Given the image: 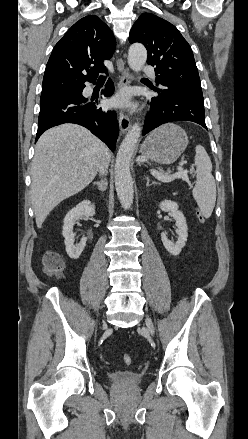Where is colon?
Returning <instances> with one entry per match:
<instances>
[{"mask_svg":"<svg viewBox=\"0 0 248 439\" xmlns=\"http://www.w3.org/2000/svg\"><path fill=\"white\" fill-rule=\"evenodd\" d=\"M196 217L199 222L203 223L205 217L202 215L199 209H196ZM43 266L45 272L50 276L59 277L64 271V262L62 258L55 252H46L43 257ZM122 361L125 365L129 366L132 363V357L129 354H124L122 356Z\"/></svg>","mask_w":248,"mask_h":439,"instance_id":"colon-1","label":"colon"}]
</instances>
